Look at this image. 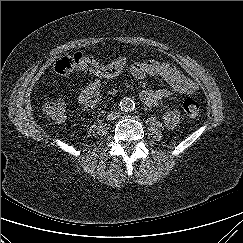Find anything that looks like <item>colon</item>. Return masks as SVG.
Here are the masks:
<instances>
[{
	"label": "colon",
	"instance_id": "5ec220e1",
	"mask_svg": "<svg viewBox=\"0 0 243 243\" xmlns=\"http://www.w3.org/2000/svg\"><path fill=\"white\" fill-rule=\"evenodd\" d=\"M127 64L124 57L107 63L100 64L92 57L82 53H75L71 56H64L56 61L54 70L59 75H69L74 72H86L99 78L111 79L119 75ZM185 114L194 119L199 115L200 105L193 98H187L183 103ZM45 115L53 121L62 122L66 117L67 103L63 98L46 99L43 104Z\"/></svg>",
	"mask_w": 243,
	"mask_h": 243
}]
</instances>
